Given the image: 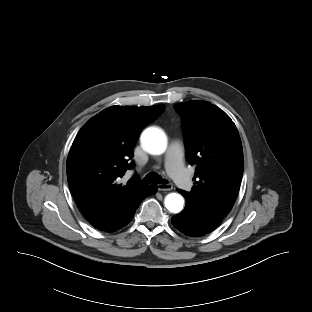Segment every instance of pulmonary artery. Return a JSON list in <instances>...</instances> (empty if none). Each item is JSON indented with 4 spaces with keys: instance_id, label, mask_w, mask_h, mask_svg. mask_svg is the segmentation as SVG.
Masks as SVG:
<instances>
[{
    "instance_id": "obj_1",
    "label": "pulmonary artery",
    "mask_w": 312,
    "mask_h": 312,
    "mask_svg": "<svg viewBox=\"0 0 312 312\" xmlns=\"http://www.w3.org/2000/svg\"><path fill=\"white\" fill-rule=\"evenodd\" d=\"M165 166L170 177L182 190L189 188L191 178L183 162V148L178 142H172L166 152Z\"/></svg>"
}]
</instances>
